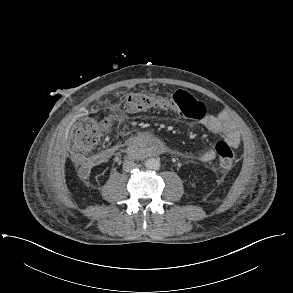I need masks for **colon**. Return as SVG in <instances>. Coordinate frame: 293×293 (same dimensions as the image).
Instances as JSON below:
<instances>
[{"label":"colon","instance_id":"5ec220e1","mask_svg":"<svg viewBox=\"0 0 293 293\" xmlns=\"http://www.w3.org/2000/svg\"><path fill=\"white\" fill-rule=\"evenodd\" d=\"M200 106L199 101L183 90L176 91L164 99H158L141 91H134L128 94L123 106V113L125 115L136 114L157 108L178 111L185 117L198 118L196 110ZM105 127V123L93 120L83 123L76 132L74 152L79 157H84L88 150L100 142ZM215 151L221 167L225 170L232 169L236 162L232 147L227 142L219 141L215 145Z\"/></svg>","mask_w":293,"mask_h":293}]
</instances>
